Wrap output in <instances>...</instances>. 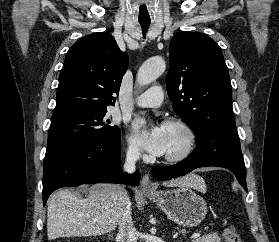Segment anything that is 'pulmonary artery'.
<instances>
[{"instance_id":"1","label":"pulmonary artery","mask_w":279,"mask_h":242,"mask_svg":"<svg viewBox=\"0 0 279 242\" xmlns=\"http://www.w3.org/2000/svg\"><path fill=\"white\" fill-rule=\"evenodd\" d=\"M163 91L160 87H152L143 94H141L136 100L135 105L139 107H157L162 104Z\"/></svg>"}]
</instances>
